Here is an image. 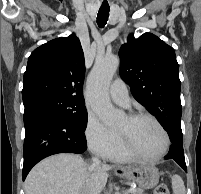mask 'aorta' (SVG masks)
Instances as JSON below:
<instances>
[{
	"mask_svg": "<svg viewBox=\"0 0 201 194\" xmlns=\"http://www.w3.org/2000/svg\"><path fill=\"white\" fill-rule=\"evenodd\" d=\"M119 63L116 55L97 59L87 79L88 102L102 122L110 128L117 127L124 116L123 111L113 107L108 94L110 82Z\"/></svg>",
	"mask_w": 201,
	"mask_h": 194,
	"instance_id": "aorta-1",
	"label": "aorta"
}]
</instances>
